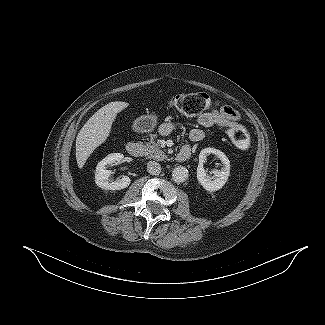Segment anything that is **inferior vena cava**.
<instances>
[{
    "label": "inferior vena cava",
    "instance_id": "obj_1",
    "mask_svg": "<svg viewBox=\"0 0 325 325\" xmlns=\"http://www.w3.org/2000/svg\"><path fill=\"white\" fill-rule=\"evenodd\" d=\"M147 171L151 174V175H159L161 172V166L158 162L155 161H149L147 163Z\"/></svg>",
    "mask_w": 325,
    "mask_h": 325
}]
</instances>
